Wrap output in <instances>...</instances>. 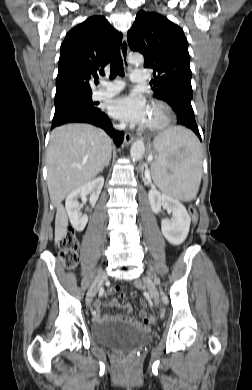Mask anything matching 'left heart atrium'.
Listing matches in <instances>:
<instances>
[{
	"label": "left heart atrium",
	"instance_id": "1",
	"mask_svg": "<svg viewBox=\"0 0 252 390\" xmlns=\"http://www.w3.org/2000/svg\"><path fill=\"white\" fill-rule=\"evenodd\" d=\"M150 107L139 95L129 93L113 99L109 105L112 116L133 125L146 124Z\"/></svg>",
	"mask_w": 252,
	"mask_h": 390
}]
</instances>
